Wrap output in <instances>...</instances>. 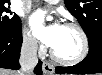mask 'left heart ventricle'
<instances>
[{
  "label": "left heart ventricle",
  "mask_w": 102,
  "mask_h": 75,
  "mask_svg": "<svg viewBox=\"0 0 102 75\" xmlns=\"http://www.w3.org/2000/svg\"><path fill=\"white\" fill-rule=\"evenodd\" d=\"M52 49L64 59H73L79 55L82 49L80 35L73 28L61 26Z\"/></svg>",
  "instance_id": "obj_1"
}]
</instances>
